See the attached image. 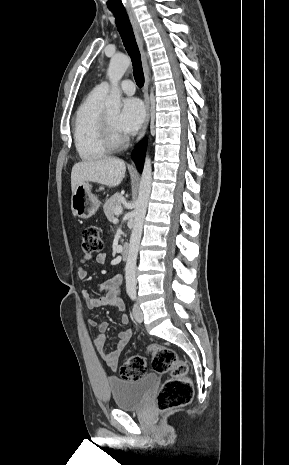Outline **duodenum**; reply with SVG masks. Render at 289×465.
I'll use <instances>...</instances> for the list:
<instances>
[{
	"mask_svg": "<svg viewBox=\"0 0 289 465\" xmlns=\"http://www.w3.org/2000/svg\"><path fill=\"white\" fill-rule=\"evenodd\" d=\"M128 255H129V246L124 245L121 249V257L123 260H126L128 258Z\"/></svg>",
	"mask_w": 289,
	"mask_h": 465,
	"instance_id": "410a0bca",
	"label": "duodenum"
}]
</instances>
